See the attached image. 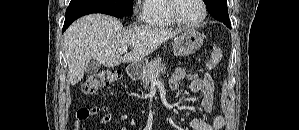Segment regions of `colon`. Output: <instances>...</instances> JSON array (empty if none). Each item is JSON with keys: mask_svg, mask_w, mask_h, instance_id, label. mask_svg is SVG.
I'll list each match as a JSON object with an SVG mask.
<instances>
[{"mask_svg": "<svg viewBox=\"0 0 299 130\" xmlns=\"http://www.w3.org/2000/svg\"><path fill=\"white\" fill-rule=\"evenodd\" d=\"M222 58L223 50L218 46H213L211 48L209 60L206 63V69L211 70L216 67L221 62ZM199 77L200 75L198 73H188L184 80L191 83L196 81ZM119 78L120 74L115 70H101L88 76L81 89L86 95H94L100 88L117 82ZM89 115L90 110L84 108L78 111L77 117L80 121H83Z\"/></svg>", "mask_w": 299, "mask_h": 130, "instance_id": "obj_1", "label": "colon"}]
</instances>
